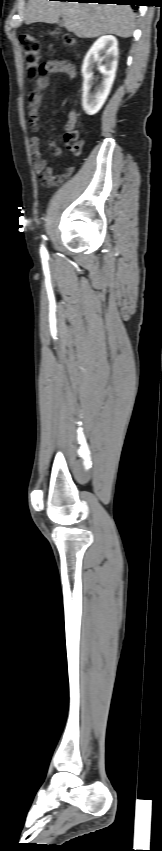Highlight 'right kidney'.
I'll list each match as a JSON object with an SVG mask.
<instances>
[{
    "mask_svg": "<svg viewBox=\"0 0 162 851\" xmlns=\"http://www.w3.org/2000/svg\"><path fill=\"white\" fill-rule=\"evenodd\" d=\"M102 61H104V64L99 66V71L102 73L103 79L92 91L93 69L97 62ZM117 64V39L112 35L98 38L87 52L81 70L84 79L82 107L86 114H96L105 103L115 79Z\"/></svg>",
    "mask_w": 162,
    "mask_h": 851,
    "instance_id": "1",
    "label": "right kidney"
}]
</instances>
